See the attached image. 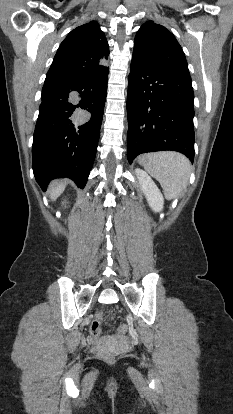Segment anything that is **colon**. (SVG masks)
Wrapping results in <instances>:
<instances>
[{"instance_id": "5ec220e1", "label": "colon", "mask_w": 233, "mask_h": 414, "mask_svg": "<svg viewBox=\"0 0 233 414\" xmlns=\"http://www.w3.org/2000/svg\"><path fill=\"white\" fill-rule=\"evenodd\" d=\"M103 313H99L97 318L91 323L90 333L93 337H98L101 334V320ZM119 334L124 335L128 332V326L126 324H120L117 328Z\"/></svg>"}]
</instances>
